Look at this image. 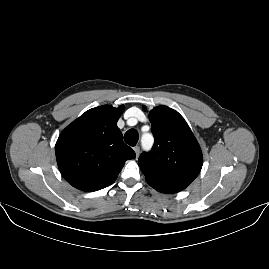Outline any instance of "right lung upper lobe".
Instances as JSON below:
<instances>
[{"mask_svg":"<svg viewBox=\"0 0 269 269\" xmlns=\"http://www.w3.org/2000/svg\"><path fill=\"white\" fill-rule=\"evenodd\" d=\"M124 105L92 108L60 134L55 153L63 177L75 188L93 192L113 184L135 152L122 139L117 121Z\"/></svg>","mask_w":269,"mask_h":269,"instance_id":"right-lung-upper-lobe-1","label":"right lung upper lobe"}]
</instances>
